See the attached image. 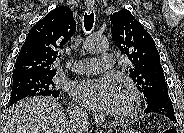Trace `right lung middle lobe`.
<instances>
[{"label":"right lung middle lobe","instance_id":"obj_1","mask_svg":"<svg viewBox=\"0 0 184 133\" xmlns=\"http://www.w3.org/2000/svg\"><path fill=\"white\" fill-rule=\"evenodd\" d=\"M10 105L30 96L59 97L60 91L55 88L53 76L24 75L13 78Z\"/></svg>","mask_w":184,"mask_h":133}]
</instances>
